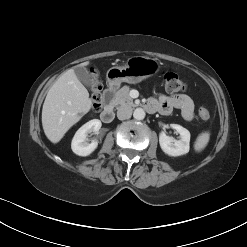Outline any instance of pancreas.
I'll use <instances>...</instances> for the list:
<instances>
[{
	"label": "pancreas",
	"mask_w": 247,
	"mask_h": 247,
	"mask_svg": "<svg viewBox=\"0 0 247 247\" xmlns=\"http://www.w3.org/2000/svg\"><path fill=\"white\" fill-rule=\"evenodd\" d=\"M130 92V87L129 86H123L120 88L116 93H115V98H114V105L115 106H123V105H128V106H135L133 103V99L129 95Z\"/></svg>",
	"instance_id": "pancreas-1"
}]
</instances>
